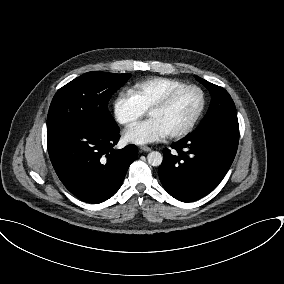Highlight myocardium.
Wrapping results in <instances>:
<instances>
[{"mask_svg":"<svg viewBox=\"0 0 284 284\" xmlns=\"http://www.w3.org/2000/svg\"><path fill=\"white\" fill-rule=\"evenodd\" d=\"M189 89H194V90L199 92V94L201 96L200 106H199L196 114L192 118V120L185 127H183L182 129H180L178 131L169 133V137H171V138H174V139L182 138V137L186 136L187 134H189L195 128L196 124L198 123V121L202 117L203 112L205 110V106H206V94H205V91L198 85H195V84H185V85L180 86L178 88H175L174 90L169 92L165 97H163L156 104H154L150 108V110H149V113L151 114L154 111L161 110V109L167 107L168 105H170L172 103V101L181 92L189 90Z\"/></svg>","mask_w":284,"mask_h":284,"instance_id":"myocardium-1","label":"myocardium"}]
</instances>
